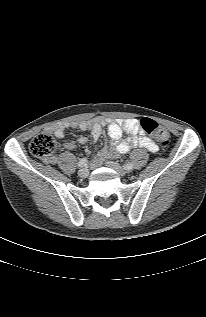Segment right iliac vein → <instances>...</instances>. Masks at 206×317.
<instances>
[{"label":"right iliac vein","mask_w":206,"mask_h":317,"mask_svg":"<svg viewBox=\"0 0 206 317\" xmlns=\"http://www.w3.org/2000/svg\"><path fill=\"white\" fill-rule=\"evenodd\" d=\"M89 174V171L87 168H82L78 171V175L82 178H86Z\"/></svg>","instance_id":"right-iliac-vein-1"}]
</instances>
